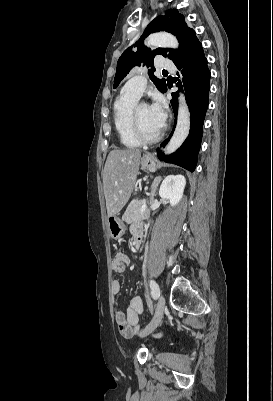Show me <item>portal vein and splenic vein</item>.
I'll use <instances>...</instances> for the list:
<instances>
[{"mask_svg":"<svg viewBox=\"0 0 273 401\" xmlns=\"http://www.w3.org/2000/svg\"><path fill=\"white\" fill-rule=\"evenodd\" d=\"M147 205L146 201L142 202V205L140 206L141 212H144L145 206Z\"/></svg>","mask_w":273,"mask_h":401,"instance_id":"1","label":"portal vein and splenic vein"}]
</instances>
